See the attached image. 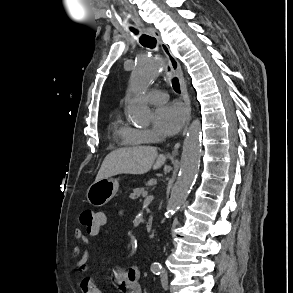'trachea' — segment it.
I'll return each mask as SVG.
<instances>
[{"label": "trachea", "instance_id": "trachea-1", "mask_svg": "<svg viewBox=\"0 0 293 293\" xmlns=\"http://www.w3.org/2000/svg\"><path fill=\"white\" fill-rule=\"evenodd\" d=\"M134 34H138L136 29H131ZM140 43L144 47L154 48L156 46V39L149 35H142L139 39ZM172 85L175 91L179 92V81L177 78H174L172 81Z\"/></svg>", "mask_w": 293, "mask_h": 293}]
</instances>
